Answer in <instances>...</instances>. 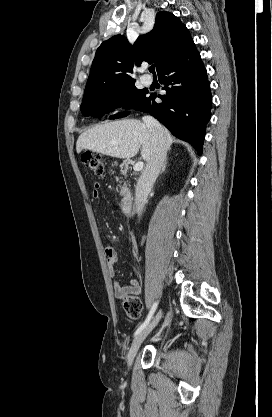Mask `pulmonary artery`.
I'll list each match as a JSON object with an SVG mask.
<instances>
[{
    "label": "pulmonary artery",
    "mask_w": 272,
    "mask_h": 417,
    "mask_svg": "<svg viewBox=\"0 0 272 417\" xmlns=\"http://www.w3.org/2000/svg\"><path fill=\"white\" fill-rule=\"evenodd\" d=\"M142 82H143L145 85H150V84L152 83V79H151L150 77L143 76V77H142Z\"/></svg>",
    "instance_id": "obj_1"
}]
</instances>
